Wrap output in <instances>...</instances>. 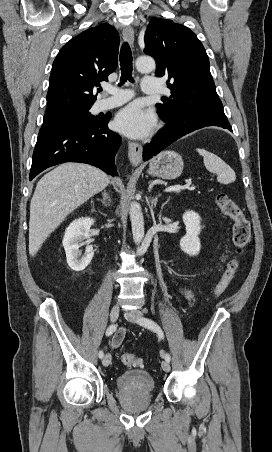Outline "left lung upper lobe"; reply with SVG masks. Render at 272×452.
<instances>
[{"instance_id": "left-lung-upper-lobe-1", "label": "left lung upper lobe", "mask_w": 272, "mask_h": 452, "mask_svg": "<svg viewBox=\"0 0 272 452\" xmlns=\"http://www.w3.org/2000/svg\"><path fill=\"white\" fill-rule=\"evenodd\" d=\"M144 42V52L156 60V76L168 77L172 95L157 104L163 120L189 123L226 117L210 73L209 58L192 30L172 20L153 18Z\"/></svg>"}]
</instances>
